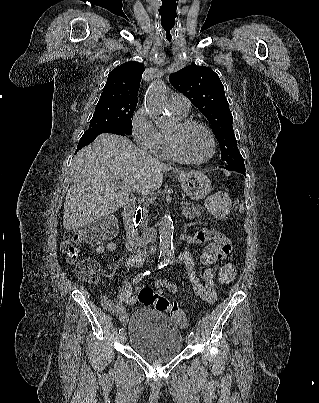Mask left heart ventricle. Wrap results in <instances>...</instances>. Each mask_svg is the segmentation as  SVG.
Listing matches in <instances>:
<instances>
[{
  "instance_id": "left-heart-ventricle-1",
  "label": "left heart ventricle",
  "mask_w": 319,
  "mask_h": 403,
  "mask_svg": "<svg viewBox=\"0 0 319 403\" xmlns=\"http://www.w3.org/2000/svg\"><path fill=\"white\" fill-rule=\"evenodd\" d=\"M175 130L176 123L171 127L169 133H174ZM178 138L181 150L188 158L202 160L210 154V138L202 128L193 126L180 133Z\"/></svg>"
}]
</instances>
